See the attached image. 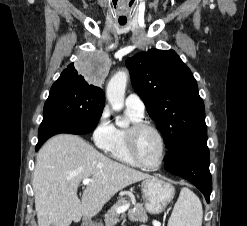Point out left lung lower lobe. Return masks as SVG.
<instances>
[{
  "label": "left lung lower lobe",
  "instance_id": "0a47b994",
  "mask_svg": "<svg viewBox=\"0 0 247 226\" xmlns=\"http://www.w3.org/2000/svg\"><path fill=\"white\" fill-rule=\"evenodd\" d=\"M164 168L194 184L209 203L212 178L209 171V149L207 135L196 137L169 152Z\"/></svg>",
  "mask_w": 247,
  "mask_h": 226
}]
</instances>
